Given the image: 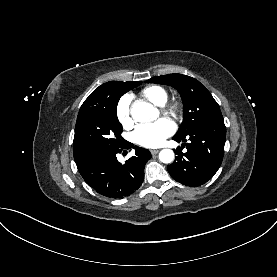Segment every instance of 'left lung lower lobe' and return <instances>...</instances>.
Instances as JSON below:
<instances>
[{
	"label": "left lung lower lobe",
	"mask_w": 277,
	"mask_h": 277,
	"mask_svg": "<svg viewBox=\"0 0 277 277\" xmlns=\"http://www.w3.org/2000/svg\"><path fill=\"white\" fill-rule=\"evenodd\" d=\"M177 142L189 143L187 152L176 150L175 161L167 166L171 177L186 186H200L210 180L219 169L226 140V127L222 116H217L201 123L190 134L174 138Z\"/></svg>",
	"instance_id": "1"
}]
</instances>
